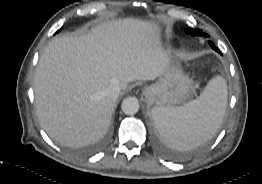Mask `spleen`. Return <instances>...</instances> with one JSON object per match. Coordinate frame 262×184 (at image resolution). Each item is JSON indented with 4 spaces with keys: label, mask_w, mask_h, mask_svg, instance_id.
<instances>
[{
    "label": "spleen",
    "mask_w": 262,
    "mask_h": 184,
    "mask_svg": "<svg viewBox=\"0 0 262 184\" xmlns=\"http://www.w3.org/2000/svg\"><path fill=\"white\" fill-rule=\"evenodd\" d=\"M227 97L225 79L215 76L197 99L180 107L156 106L151 113L167 145L177 150H189L216 134L223 122Z\"/></svg>",
    "instance_id": "3e777b00"
}]
</instances>
